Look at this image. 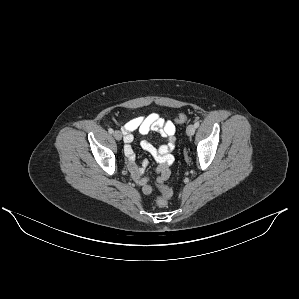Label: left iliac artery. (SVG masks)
<instances>
[{"instance_id":"1","label":"left iliac artery","mask_w":299,"mask_h":299,"mask_svg":"<svg viewBox=\"0 0 299 299\" xmlns=\"http://www.w3.org/2000/svg\"><path fill=\"white\" fill-rule=\"evenodd\" d=\"M199 125H200L199 121H196L195 124H194V126H195L196 128L199 127Z\"/></svg>"}]
</instances>
